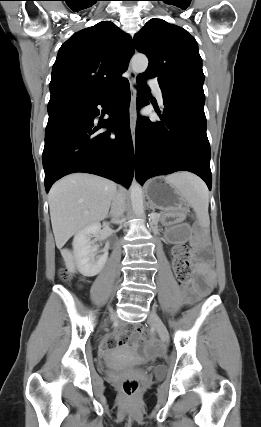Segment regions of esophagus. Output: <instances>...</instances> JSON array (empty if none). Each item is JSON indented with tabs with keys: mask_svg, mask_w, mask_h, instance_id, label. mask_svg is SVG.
Instances as JSON below:
<instances>
[{
	"mask_svg": "<svg viewBox=\"0 0 261 427\" xmlns=\"http://www.w3.org/2000/svg\"><path fill=\"white\" fill-rule=\"evenodd\" d=\"M129 71V83L131 90V101H130V130L131 137L133 141V146L135 147V131H136V73L133 71L131 64L128 67Z\"/></svg>",
	"mask_w": 261,
	"mask_h": 427,
	"instance_id": "34e87169",
	"label": "esophagus"
}]
</instances>
